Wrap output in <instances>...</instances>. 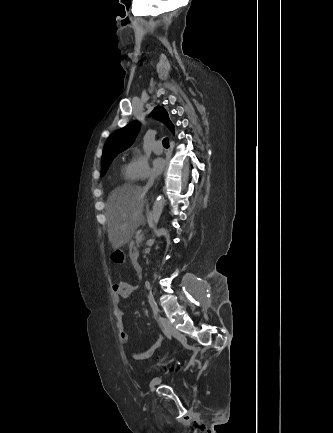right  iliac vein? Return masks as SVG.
Returning a JSON list of instances; mask_svg holds the SVG:
<instances>
[{"mask_svg": "<svg viewBox=\"0 0 333 433\" xmlns=\"http://www.w3.org/2000/svg\"><path fill=\"white\" fill-rule=\"evenodd\" d=\"M167 329L169 330V332L176 338L178 339L181 343L186 344L187 343V338L185 335L181 334L179 331H177L174 327L172 326H168L166 325ZM161 379L160 378H154L150 384V391L153 392L155 387L160 383Z\"/></svg>", "mask_w": 333, "mask_h": 433, "instance_id": "obj_1", "label": "right iliac vein"}]
</instances>
